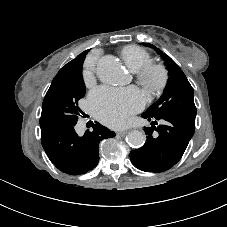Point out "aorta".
<instances>
[{"label": "aorta", "instance_id": "obj_1", "mask_svg": "<svg viewBox=\"0 0 227 227\" xmlns=\"http://www.w3.org/2000/svg\"><path fill=\"white\" fill-rule=\"evenodd\" d=\"M96 73L101 82L106 84H116L123 75V70L119 60L112 55L103 56L97 63ZM127 143L134 147H142L146 141V135L139 130H132L126 136Z\"/></svg>", "mask_w": 227, "mask_h": 227}]
</instances>
